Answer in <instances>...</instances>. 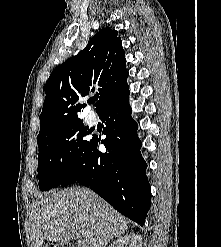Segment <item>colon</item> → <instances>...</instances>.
<instances>
[{
    "mask_svg": "<svg viewBox=\"0 0 221 247\" xmlns=\"http://www.w3.org/2000/svg\"><path fill=\"white\" fill-rule=\"evenodd\" d=\"M48 247H66V246L61 244H50Z\"/></svg>",
    "mask_w": 221,
    "mask_h": 247,
    "instance_id": "5ec220e1",
    "label": "colon"
}]
</instances>
